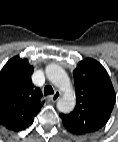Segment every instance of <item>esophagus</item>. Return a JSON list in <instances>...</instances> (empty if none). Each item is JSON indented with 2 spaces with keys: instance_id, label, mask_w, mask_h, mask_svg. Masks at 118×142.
<instances>
[{
  "instance_id": "esophagus-1",
  "label": "esophagus",
  "mask_w": 118,
  "mask_h": 142,
  "mask_svg": "<svg viewBox=\"0 0 118 142\" xmlns=\"http://www.w3.org/2000/svg\"><path fill=\"white\" fill-rule=\"evenodd\" d=\"M60 96H61V93L59 91H56L53 95L49 97V100L51 102H56L60 98Z\"/></svg>"
}]
</instances>
